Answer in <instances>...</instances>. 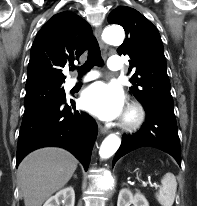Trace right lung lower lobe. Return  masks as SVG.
<instances>
[{"label":"right lung lower lobe","mask_w":197,"mask_h":206,"mask_svg":"<svg viewBox=\"0 0 197 206\" xmlns=\"http://www.w3.org/2000/svg\"><path fill=\"white\" fill-rule=\"evenodd\" d=\"M97 124L75 101L51 103L24 113L17 146L16 166L31 151L47 146L70 151L88 169Z\"/></svg>","instance_id":"1"}]
</instances>
